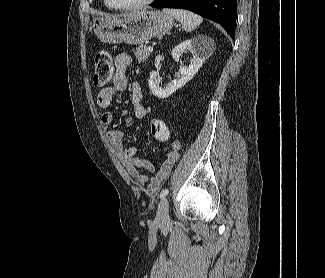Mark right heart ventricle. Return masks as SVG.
I'll list each match as a JSON object with an SVG mask.
<instances>
[{
    "mask_svg": "<svg viewBox=\"0 0 325 278\" xmlns=\"http://www.w3.org/2000/svg\"><path fill=\"white\" fill-rule=\"evenodd\" d=\"M104 3H105V5L109 8V6L107 5V3H106V1L104 0Z\"/></svg>",
    "mask_w": 325,
    "mask_h": 278,
    "instance_id": "e07e8e85",
    "label": "right heart ventricle"
}]
</instances>
